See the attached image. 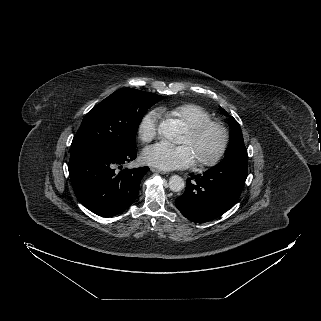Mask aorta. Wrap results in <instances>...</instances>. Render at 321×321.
<instances>
[{"mask_svg": "<svg viewBox=\"0 0 321 321\" xmlns=\"http://www.w3.org/2000/svg\"><path fill=\"white\" fill-rule=\"evenodd\" d=\"M159 133L167 140L175 142L181 134V129L175 120L167 119L159 125ZM168 185L173 192H180L185 187L183 178L178 175L171 176Z\"/></svg>", "mask_w": 321, "mask_h": 321, "instance_id": "1", "label": "aorta"}]
</instances>
